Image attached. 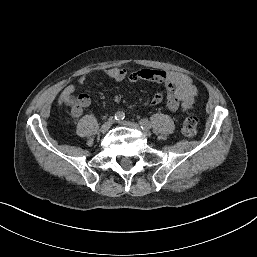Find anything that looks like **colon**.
I'll use <instances>...</instances> for the list:
<instances>
[{"mask_svg": "<svg viewBox=\"0 0 257 257\" xmlns=\"http://www.w3.org/2000/svg\"><path fill=\"white\" fill-rule=\"evenodd\" d=\"M198 120L197 117L190 113L184 119L182 126H181V135L184 138H191L197 132Z\"/></svg>", "mask_w": 257, "mask_h": 257, "instance_id": "1", "label": "colon"}]
</instances>
